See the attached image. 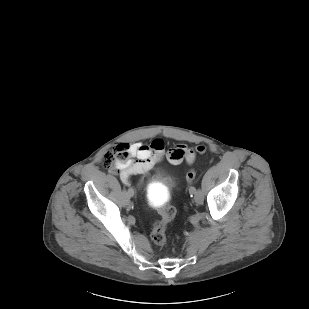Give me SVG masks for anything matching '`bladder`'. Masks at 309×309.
<instances>
[{"mask_svg": "<svg viewBox=\"0 0 309 309\" xmlns=\"http://www.w3.org/2000/svg\"><path fill=\"white\" fill-rule=\"evenodd\" d=\"M145 193L148 201L152 205H160L165 193L156 181H148L145 187Z\"/></svg>", "mask_w": 309, "mask_h": 309, "instance_id": "31cf9c89", "label": "bladder"}]
</instances>
